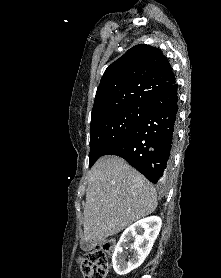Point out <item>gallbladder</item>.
<instances>
[{"label": "gallbladder", "instance_id": "obj_1", "mask_svg": "<svg viewBox=\"0 0 221 278\" xmlns=\"http://www.w3.org/2000/svg\"><path fill=\"white\" fill-rule=\"evenodd\" d=\"M81 248L84 250V251H88L91 249V244L89 242H86V241H83L81 243Z\"/></svg>", "mask_w": 221, "mask_h": 278}]
</instances>
